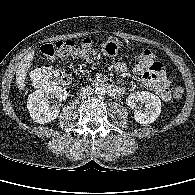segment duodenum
I'll return each mask as SVG.
<instances>
[{"label":"duodenum","instance_id":"1","mask_svg":"<svg viewBox=\"0 0 195 195\" xmlns=\"http://www.w3.org/2000/svg\"><path fill=\"white\" fill-rule=\"evenodd\" d=\"M98 85H99V86H102V87H105V88H108V89H110L111 91H113L114 88H115L114 84H113L112 82H110V81H100V82L98 83Z\"/></svg>","mask_w":195,"mask_h":195}]
</instances>
